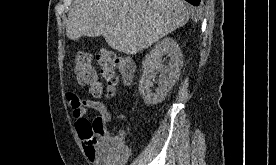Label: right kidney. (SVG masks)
Wrapping results in <instances>:
<instances>
[{
	"label": "right kidney",
	"mask_w": 276,
	"mask_h": 165,
	"mask_svg": "<svg viewBox=\"0 0 276 165\" xmlns=\"http://www.w3.org/2000/svg\"><path fill=\"white\" fill-rule=\"evenodd\" d=\"M165 55L169 57L167 64H163L162 60ZM142 64L143 73L139 80V91L146 103L158 104L166 98L180 76L183 55L178 43L172 38H164L145 56ZM156 71L160 73V79L158 87L153 92L151 87Z\"/></svg>",
	"instance_id": "obj_1"
}]
</instances>
